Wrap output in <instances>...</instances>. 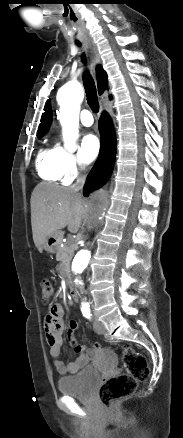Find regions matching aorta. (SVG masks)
Returning <instances> with one entry per match:
<instances>
[{"label":"aorta","instance_id":"obj_1","mask_svg":"<svg viewBox=\"0 0 183 438\" xmlns=\"http://www.w3.org/2000/svg\"><path fill=\"white\" fill-rule=\"evenodd\" d=\"M84 97L81 84L77 81H70L59 88L57 101L60 105L59 119L62 125V135L66 147L70 150L75 148L74 140L78 134L80 104ZM96 208H100V202L96 201ZM91 262V253L88 250H80L74 257L72 272L74 282L82 287L83 282L80 275Z\"/></svg>","mask_w":183,"mask_h":438}]
</instances>
